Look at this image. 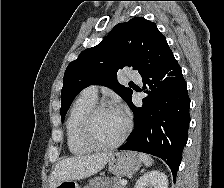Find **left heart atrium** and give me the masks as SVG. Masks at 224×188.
Instances as JSON below:
<instances>
[{
    "label": "left heart atrium",
    "mask_w": 224,
    "mask_h": 188,
    "mask_svg": "<svg viewBox=\"0 0 224 188\" xmlns=\"http://www.w3.org/2000/svg\"><path fill=\"white\" fill-rule=\"evenodd\" d=\"M118 112L126 119L127 118V111L124 108L118 109Z\"/></svg>",
    "instance_id": "1"
}]
</instances>
